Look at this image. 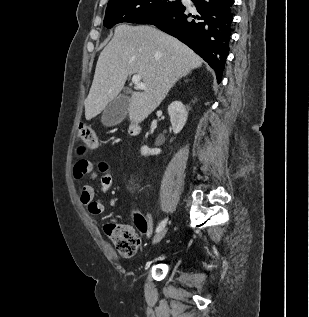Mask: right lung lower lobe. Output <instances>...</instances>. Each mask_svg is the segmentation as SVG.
<instances>
[{
    "instance_id": "obj_1",
    "label": "right lung lower lobe",
    "mask_w": 309,
    "mask_h": 317,
    "mask_svg": "<svg viewBox=\"0 0 309 317\" xmlns=\"http://www.w3.org/2000/svg\"><path fill=\"white\" fill-rule=\"evenodd\" d=\"M194 9L181 5L141 19L178 38L202 57L221 82L231 38L234 0H192Z\"/></svg>"
}]
</instances>
